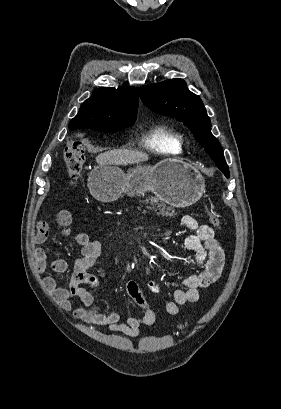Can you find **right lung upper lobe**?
Returning <instances> with one entry per match:
<instances>
[{"mask_svg": "<svg viewBox=\"0 0 281 409\" xmlns=\"http://www.w3.org/2000/svg\"><path fill=\"white\" fill-rule=\"evenodd\" d=\"M138 100L135 87L97 89L81 105L78 114L70 121L69 129L132 125L136 120Z\"/></svg>", "mask_w": 281, "mask_h": 409, "instance_id": "right-lung-upper-lobe-1", "label": "right lung upper lobe"}]
</instances>
